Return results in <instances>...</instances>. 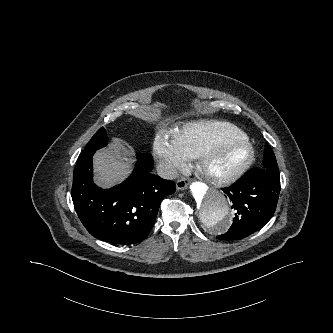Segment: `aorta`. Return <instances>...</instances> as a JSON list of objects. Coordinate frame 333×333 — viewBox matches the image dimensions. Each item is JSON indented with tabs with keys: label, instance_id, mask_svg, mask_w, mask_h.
<instances>
[{
	"label": "aorta",
	"instance_id": "aorta-1",
	"mask_svg": "<svg viewBox=\"0 0 333 333\" xmlns=\"http://www.w3.org/2000/svg\"><path fill=\"white\" fill-rule=\"evenodd\" d=\"M191 198L196 218L213 231H220L230 216L226 196L214 187L195 183L191 186Z\"/></svg>",
	"mask_w": 333,
	"mask_h": 333
}]
</instances>
